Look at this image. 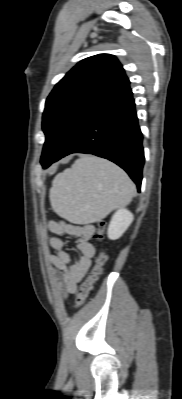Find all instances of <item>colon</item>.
I'll return each mask as SVG.
<instances>
[{
    "mask_svg": "<svg viewBox=\"0 0 182 399\" xmlns=\"http://www.w3.org/2000/svg\"><path fill=\"white\" fill-rule=\"evenodd\" d=\"M103 230H104L103 223H99L98 229L94 235L95 240L102 241ZM106 260H107L106 253L102 249V250H100V252L96 258L95 265H94L91 273L89 274V276L84 280V282L80 286V289L77 294L76 302H75L76 307H79L80 305H82L84 303V301L86 300V298L88 297L89 293L91 292V290L93 288L94 283L96 282L98 276L102 272V268H103V265L105 264Z\"/></svg>",
    "mask_w": 182,
    "mask_h": 399,
    "instance_id": "obj_1",
    "label": "colon"
}]
</instances>
